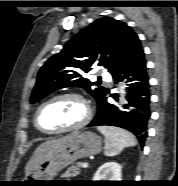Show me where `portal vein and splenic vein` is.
Masks as SVG:
<instances>
[{
    "mask_svg": "<svg viewBox=\"0 0 178 186\" xmlns=\"http://www.w3.org/2000/svg\"><path fill=\"white\" fill-rule=\"evenodd\" d=\"M88 166H89V164L87 162H85V163L82 164V167L83 168H87Z\"/></svg>",
    "mask_w": 178,
    "mask_h": 186,
    "instance_id": "obj_1",
    "label": "portal vein and splenic vein"
}]
</instances>
